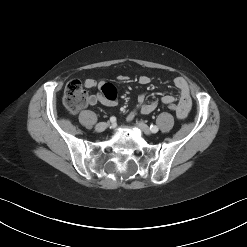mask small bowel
Listing matches in <instances>:
<instances>
[{"instance_id":"small-bowel-1","label":"small bowel","mask_w":247,"mask_h":247,"mask_svg":"<svg viewBox=\"0 0 247 247\" xmlns=\"http://www.w3.org/2000/svg\"><path fill=\"white\" fill-rule=\"evenodd\" d=\"M126 76H119L120 81H125ZM140 84L150 83V78L148 76H140ZM84 85L87 89H98L99 93L91 94L87 97V104L90 106L96 105L97 103L103 104L105 106L113 107L116 105L117 101V90L116 87L106 81H97L94 79H86ZM174 85L178 89L179 97L176 99L172 95H164L161 98L163 104L176 103L178 106L177 117L179 119H184L187 117L192 106V99L190 95V88L187 81L183 77H176L174 79ZM157 103L155 101H146L145 94H140L137 98V106L129 115V120H131L134 115L139 112L141 114H149L155 110Z\"/></svg>"}]
</instances>
